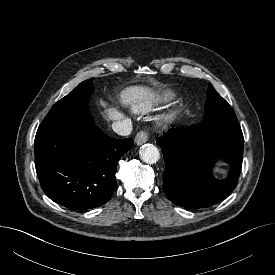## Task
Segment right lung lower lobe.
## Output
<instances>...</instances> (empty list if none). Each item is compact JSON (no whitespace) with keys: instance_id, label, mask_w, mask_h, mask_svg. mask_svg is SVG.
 <instances>
[{"instance_id":"right-lung-lower-lobe-1","label":"right lung lower lobe","mask_w":275,"mask_h":275,"mask_svg":"<svg viewBox=\"0 0 275 275\" xmlns=\"http://www.w3.org/2000/svg\"><path fill=\"white\" fill-rule=\"evenodd\" d=\"M104 134L86 107L43 120L34 141L36 172L45 194L74 210L105 204L117 190V162L133 146Z\"/></svg>"}]
</instances>
